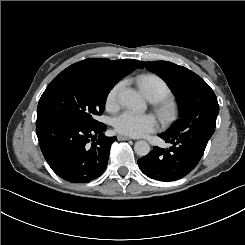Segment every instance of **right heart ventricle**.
I'll list each match as a JSON object with an SVG mask.
<instances>
[{
    "instance_id": "1",
    "label": "right heart ventricle",
    "mask_w": 245,
    "mask_h": 245,
    "mask_svg": "<svg viewBox=\"0 0 245 245\" xmlns=\"http://www.w3.org/2000/svg\"><path fill=\"white\" fill-rule=\"evenodd\" d=\"M139 85L152 100H162L171 95L167 83L156 75L144 74L139 76Z\"/></svg>"
}]
</instances>
